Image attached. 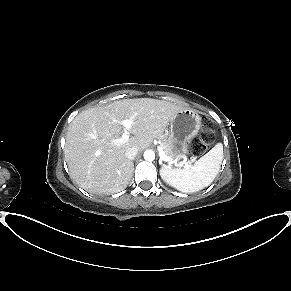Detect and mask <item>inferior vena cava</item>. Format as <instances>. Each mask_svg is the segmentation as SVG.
<instances>
[{"mask_svg":"<svg viewBox=\"0 0 291 291\" xmlns=\"http://www.w3.org/2000/svg\"><path fill=\"white\" fill-rule=\"evenodd\" d=\"M137 153H138V149L136 147H130V148L126 149L125 156L129 160H133L136 157Z\"/></svg>","mask_w":291,"mask_h":291,"instance_id":"602c4592","label":"inferior vena cava"}]
</instances>
